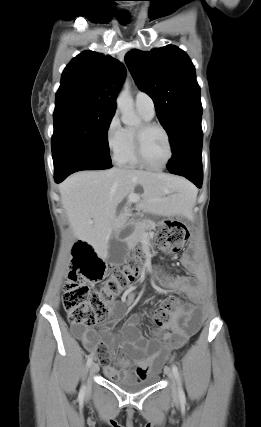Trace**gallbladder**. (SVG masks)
<instances>
[{
    "label": "gallbladder",
    "instance_id": "1",
    "mask_svg": "<svg viewBox=\"0 0 261 427\" xmlns=\"http://www.w3.org/2000/svg\"><path fill=\"white\" fill-rule=\"evenodd\" d=\"M126 255V245L120 240H118L115 235H112L108 242V263L113 265H120L124 262Z\"/></svg>",
    "mask_w": 261,
    "mask_h": 427
}]
</instances>
